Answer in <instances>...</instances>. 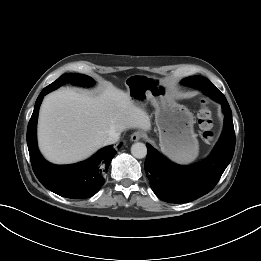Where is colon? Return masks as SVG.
<instances>
[{"instance_id":"5ec220e1","label":"colon","mask_w":261,"mask_h":261,"mask_svg":"<svg viewBox=\"0 0 261 261\" xmlns=\"http://www.w3.org/2000/svg\"><path fill=\"white\" fill-rule=\"evenodd\" d=\"M199 127L205 139H211L213 136V113L206 101L201 102L197 113Z\"/></svg>"}]
</instances>
